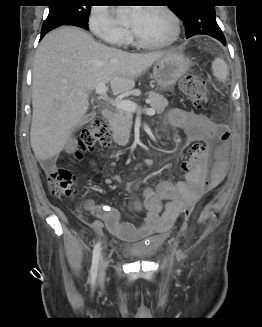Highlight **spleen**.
Wrapping results in <instances>:
<instances>
[{
	"instance_id": "obj_1",
	"label": "spleen",
	"mask_w": 262,
	"mask_h": 327,
	"mask_svg": "<svg viewBox=\"0 0 262 327\" xmlns=\"http://www.w3.org/2000/svg\"><path fill=\"white\" fill-rule=\"evenodd\" d=\"M212 73L221 82L226 81L229 71L227 64L222 58H216L212 63Z\"/></svg>"
}]
</instances>
